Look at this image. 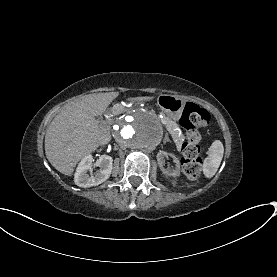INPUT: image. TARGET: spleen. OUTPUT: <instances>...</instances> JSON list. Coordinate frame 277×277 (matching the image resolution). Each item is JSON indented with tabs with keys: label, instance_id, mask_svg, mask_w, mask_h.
I'll use <instances>...</instances> for the list:
<instances>
[{
	"label": "spleen",
	"instance_id": "1",
	"mask_svg": "<svg viewBox=\"0 0 277 277\" xmlns=\"http://www.w3.org/2000/svg\"><path fill=\"white\" fill-rule=\"evenodd\" d=\"M224 155V146L221 141H214L209 147V154L203 160V175L205 178H212L217 172Z\"/></svg>",
	"mask_w": 277,
	"mask_h": 277
}]
</instances>
